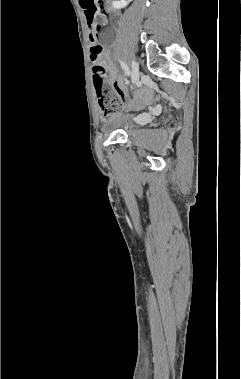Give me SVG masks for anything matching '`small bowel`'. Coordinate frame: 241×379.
<instances>
[{
    "instance_id": "small-bowel-1",
    "label": "small bowel",
    "mask_w": 241,
    "mask_h": 379,
    "mask_svg": "<svg viewBox=\"0 0 241 379\" xmlns=\"http://www.w3.org/2000/svg\"><path fill=\"white\" fill-rule=\"evenodd\" d=\"M107 71L115 93L124 99L126 96V86L124 81L118 76V72L113 65H108ZM156 99L157 96L151 89L142 87L137 89L133 95V98L125 103L124 109L129 111L141 109L145 105L151 104Z\"/></svg>"
}]
</instances>
